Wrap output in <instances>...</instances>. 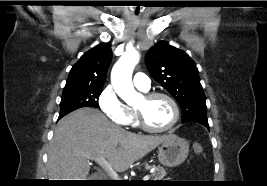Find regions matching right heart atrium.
<instances>
[{"instance_id":"obj_1","label":"right heart atrium","mask_w":267,"mask_h":186,"mask_svg":"<svg viewBox=\"0 0 267 186\" xmlns=\"http://www.w3.org/2000/svg\"><path fill=\"white\" fill-rule=\"evenodd\" d=\"M98 105L108 119L123 126L127 125L126 106L111 86L104 87L100 92Z\"/></svg>"}]
</instances>
